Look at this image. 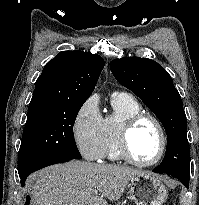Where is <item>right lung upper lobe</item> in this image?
I'll list each match as a JSON object with an SVG mask.
<instances>
[{
  "instance_id": "cb5924a9",
  "label": "right lung upper lobe",
  "mask_w": 199,
  "mask_h": 205,
  "mask_svg": "<svg viewBox=\"0 0 199 205\" xmlns=\"http://www.w3.org/2000/svg\"><path fill=\"white\" fill-rule=\"evenodd\" d=\"M104 60L80 50L63 51L43 68L35 83L28 112L65 102L86 101L93 92Z\"/></svg>"
}]
</instances>
